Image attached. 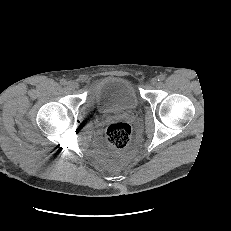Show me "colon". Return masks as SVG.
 I'll use <instances>...</instances> for the list:
<instances>
[{
    "label": "colon",
    "instance_id": "obj_1",
    "mask_svg": "<svg viewBox=\"0 0 231 231\" xmlns=\"http://www.w3.org/2000/svg\"><path fill=\"white\" fill-rule=\"evenodd\" d=\"M106 138L113 148L124 149L131 139V127L125 122L113 123L106 130Z\"/></svg>",
    "mask_w": 231,
    "mask_h": 231
}]
</instances>
